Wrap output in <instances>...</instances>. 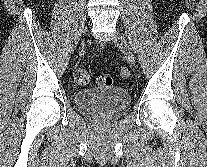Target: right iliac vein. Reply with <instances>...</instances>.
<instances>
[{"mask_svg": "<svg viewBox=\"0 0 207 167\" xmlns=\"http://www.w3.org/2000/svg\"><path fill=\"white\" fill-rule=\"evenodd\" d=\"M84 47V41L81 43L80 49Z\"/></svg>", "mask_w": 207, "mask_h": 167, "instance_id": "63e3f726", "label": "right iliac vein"}]
</instances>
